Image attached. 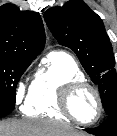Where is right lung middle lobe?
Returning a JSON list of instances; mask_svg holds the SVG:
<instances>
[{
    "mask_svg": "<svg viewBox=\"0 0 117 136\" xmlns=\"http://www.w3.org/2000/svg\"><path fill=\"white\" fill-rule=\"evenodd\" d=\"M31 61L0 57V102L15 104L16 85Z\"/></svg>",
    "mask_w": 117,
    "mask_h": 136,
    "instance_id": "right-lung-middle-lobe-1",
    "label": "right lung middle lobe"
}]
</instances>
